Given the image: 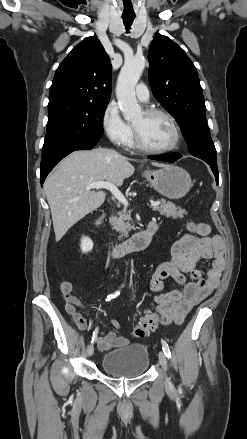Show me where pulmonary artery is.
<instances>
[{"label": "pulmonary artery", "instance_id": "pulmonary-artery-1", "mask_svg": "<svg viewBox=\"0 0 247 439\" xmlns=\"http://www.w3.org/2000/svg\"><path fill=\"white\" fill-rule=\"evenodd\" d=\"M136 96L137 98L144 103H147L149 100V90L145 84L140 83L136 86Z\"/></svg>", "mask_w": 247, "mask_h": 439}]
</instances>
